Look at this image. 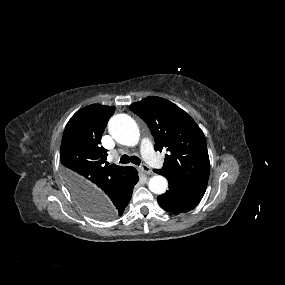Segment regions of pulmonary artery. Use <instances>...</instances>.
<instances>
[{
    "mask_svg": "<svg viewBox=\"0 0 285 285\" xmlns=\"http://www.w3.org/2000/svg\"><path fill=\"white\" fill-rule=\"evenodd\" d=\"M140 151L145 161L152 167L159 168L161 161L153 150L152 143L149 138H143L140 141Z\"/></svg>",
    "mask_w": 285,
    "mask_h": 285,
    "instance_id": "pulmonary-artery-1",
    "label": "pulmonary artery"
}]
</instances>
